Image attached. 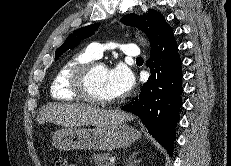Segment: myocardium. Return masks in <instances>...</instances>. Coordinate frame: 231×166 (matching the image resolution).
<instances>
[{
    "mask_svg": "<svg viewBox=\"0 0 231 166\" xmlns=\"http://www.w3.org/2000/svg\"><path fill=\"white\" fill-rule=\"evenodd\" d=\"M98 67H105V65L101 61L93 60L77 68L71 79V88L81 99L87 102L109 105L115 102L114 98L105 99L96 97L90 89L91 76Z\"/></svg>",
    "mask_w": 231,
    "mask_h": 166,
    "instance_id": "myocardium-1",
    "label": "myocardium"
}]
</instances>
